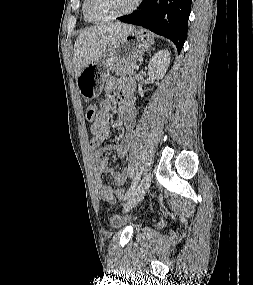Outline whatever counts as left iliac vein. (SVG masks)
I'll return each instance as SVG.
<instances>
[{"mask_svg":"<svg viewBox=\"0 0 253 285\" xmlns=\"http://www.w3.org/2000/svg\"><path fill=\"white\" fill-rule=\"evenodd\" d=\"M151 183V174L147 173L144 178L141 180L139 186L133 195L129 198L125 205V211H129L134 208L145 196L148 191Z\"/></svg>","mask_w":253,"mask_h":285,"instance_id":"4c4485c4","label":"left iliac vein"}]
</instances>
